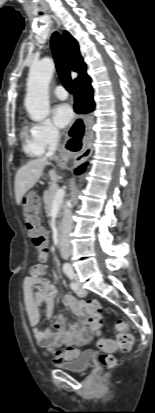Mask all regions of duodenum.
<instances>
[{
    "label": "duodenum",
    "mask_w": 155,
    "mask_h": 413,
    "mask_svg": "<svg viewBox=\"0 0 155 413\" xmlns=\"http://www.w3.org/2000/svg\"><path fill=\"white\" fill-rule=\"evenodd\" d=\"M56 245L59 250L62 248V224H59L56 232Z\"/></svg>",
    "instance_id": "410a0bca"
}]
</instances>
